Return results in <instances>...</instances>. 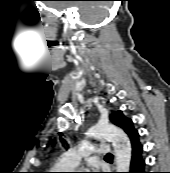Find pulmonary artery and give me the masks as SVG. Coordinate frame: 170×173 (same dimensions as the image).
<instances>
[{
  "label": "pulmonary artery",
  "mask_w": 170,
  "mask_h": 173,
  "mask_svg": "<svg viewBox=\"0 0 170 173\" xmlns=\"http://www.w3.org/2000/svg\"><path fill=\"white\" fill-rule=\"evenodd\" d=\"M110 153V146H97L90 142L83 141L66 153V167H76L83 158H86L89 155H107Z\"/></svg>",
  "instance_id": "e3ab8cb5"
}]
</instances>
